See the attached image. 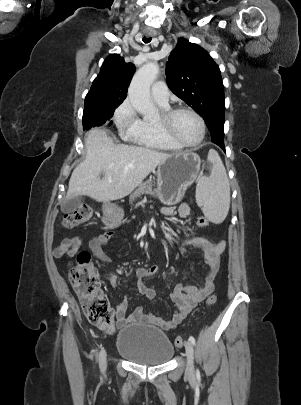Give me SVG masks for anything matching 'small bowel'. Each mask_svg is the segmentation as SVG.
<instances>
[{
    "instance_id": "c3829d8e",
    "label": "small bowel",
    "mask_w": 301,
    "mask_h": 405,
    "mask_svg": "<svg viewBox=\"0 0 301 405\" xmlns=\"http://www.w3.org/2000/svg\"><path fill=\"white\" fill-rule=\"evenodd\" d=\"M191 210L192 208L188 203H181L176 208V212L180 218L187 217L191 213ZM174 211V207H167L163 210V214L171 216ZM113 234L114 231H108L99 236L93 237L89 241L90 250L94 256L103 263H108L110 261L109 256L104 251V246L109 243ZM81 242L82 239L78 236L66 238L62 240L60 245L54 250V254L58 258L63 257L65 254L74 256ZM187 246L198 248L203 253L204 262L209 269L204 282L199 286L183 283H179L175 286L171 294V300L174 303L176 310L172 318L169 320L155 316L151 313H146L141 306L136 307L131 314L127 315L128 300L127 298H124L115 309L117 318L116 324L118 328L131 323H148L156 325L166 331L173 330L188 316L199 302L203 301L212 293L215 287V278L220 268V256L226 247L225 241L213 242L205 237H192L181 244V251L184 252ZM156 272V266L148 268L138 267L135 271L137 277L136 288L148 299H153L155 297V289L148 286L145 283V280L154 276ZM105 278L110 282L113 288L117 287V277L115 274L109 273Z\"/></svg>"
}]
</instances>
